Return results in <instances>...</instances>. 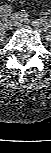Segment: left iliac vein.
Returning a JSON list of instances; mask_svg holds the SVG:
<instances>
[{
	"instance_id": "left-iliac-vein-1",
	"label": "left iliac vein",
	"mask_w": 51,
	"mask_h": 153,
	"mask_svg": "<svg viewBox=\"0 0 51 153\" xmlns=\"http://www.w3.org/2000/svg\"><path fill=\"white\" fill-rule=\"evenodd\" d=\"M11 20L13 21L14 25L17 27H28V26H30V23H31L27 20H24V18L21 17V12L16 13V14H12ZM31 26L33 27V29H36L37 31L43 30V28H41L40 26H37L34 24H32Z\"/></svg>"
}]
</instances>
